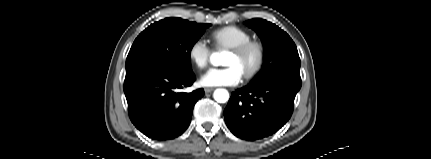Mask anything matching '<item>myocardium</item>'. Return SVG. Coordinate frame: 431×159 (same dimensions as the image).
<instances>
[{
    "label": "myocardium",
    "mask_w": 431,
    "mask_h": 159,
    "mask_svg": "<svg viewBox=\"0 0 431 159\" xmlns=\"http://www.w3.org/2000/svg\"><path fill=\"white\" fill-rule=\"evenodd\" d=\"M230 52L239 58L254 55V63L250 69L243 73L244 78L251 79L261 70L265 60V48L259 41L250 40L236 47L230 48Z\"/></svg>",
    "instance_id": "myocardium-1"
}]
</instances>
